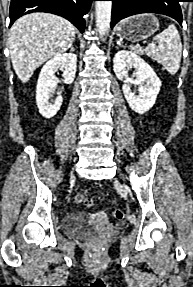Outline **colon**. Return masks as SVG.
<instances>
[{
	"label": "colon",
	"instance_id": "5ec220e1",
	"mask_svg": "<svg viewBox=\"0 0 193 287\" xmlns=\"http://www.w3.org/2000/svg\"><path fill=\"white\" fill-rule=\"evenodd\" d=\"M74 201L77 204H84L87 207H91L94 203V200L92 197L85 196L82 193H77L74 196ZM113 215H114L115 219H117V220H122L124 218V212L120 209H116L114 211Z\"/></svg>",
	"mask_w": 193,
	"mask_h": 287
}]
</instances>
